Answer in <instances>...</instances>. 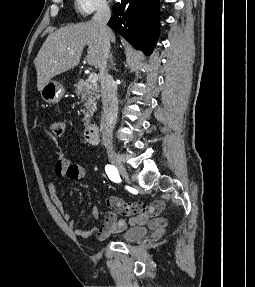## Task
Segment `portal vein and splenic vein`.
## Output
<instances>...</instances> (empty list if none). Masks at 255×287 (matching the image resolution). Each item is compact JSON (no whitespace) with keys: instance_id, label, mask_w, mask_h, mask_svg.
<instances>
[{"instance_id":"portal-vein-and-splenic-vein-1","label":"portal vein and splenic vein","mask_w":255,"mask_h":287,"mask_svg":"<svg viewBox=\"0 0 255 287\" xmlns=\"http://www.w3.org/2000/svg\"><path fill=\"white\" fill-rule=\"evenodd\" d=\"M97 80H98L97 74H90L89 82H93V84H95V82H97Z\"/></svg>"}]
</instances>
